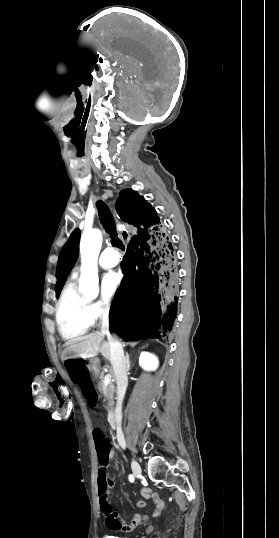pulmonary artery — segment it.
I'll return each instance as SVG.
<instances>
[{
	"instance_id": "e3ab8cb5",
	"label": "pulmonary artery",
	"mask_w": 279,
	"mask_h": 538,
	"mask_svg": "<svg viewBox=\"0 0 279 538\" xmlns=\"http://www.w3.org/2000/svg\"><path fill=\"white\" fill-rule=\"evenodd\" d=\"M119 261V256L111 249L107 248L102 251L99 258V265L104 270L112 269ZM79 269L78 267L74 268L72 275L76 276Z\"/></svg>"
}]
</instances>
